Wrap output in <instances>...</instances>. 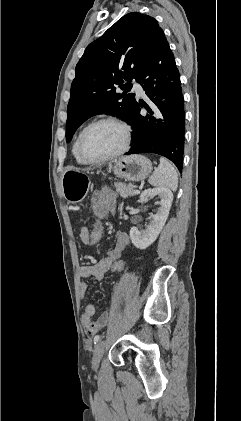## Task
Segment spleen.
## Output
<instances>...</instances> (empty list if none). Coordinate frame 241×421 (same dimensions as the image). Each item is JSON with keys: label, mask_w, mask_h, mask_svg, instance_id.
Here are the masks:
<instances>
[{"label": "spleen", "mask_w": 241, "mask_h": 421, "mask_svg": "<svg viewBox=\"0 0 241 421\" xmlns=\"http://www.w3.org/2000/svg\"><path fill=\"white\" fill-rule=\"evenodd\" d=\"M152 186L168 187L173 191L178 188V175L174 166L165 158H160V164L149 177Z\"/></svg>", "instance_id": "obj_1"}]
</instances>
